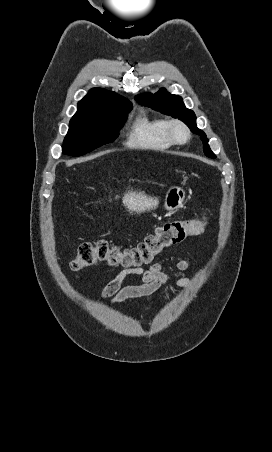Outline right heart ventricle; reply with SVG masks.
I'll return each mask as SVG.
<instances>
[{
  "instance_id": "1",
  "label": "right heart ventricle",
  "mask_w": 272,
  "mask_h": 452,
  "mask_svg": "<svg viewBox=\"0 0 272 452\" xmlns=\"http://www.w3.org/2000/svg\"><path fill=\"white\" fill-rule=\"evenodd\" d=\"M168 119L139 114L132 122L127 134V145L134 149L162 151L173 145L168 131Z\"/></svg>"
}]
</instances>
